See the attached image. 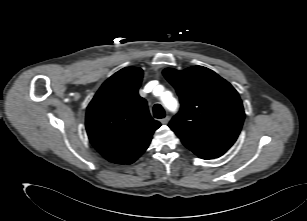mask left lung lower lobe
I'll return each mask as SVG.
<instances>
[{
  "instance_id": "1",
  "label": "left lung lower lobe",
  "mask_w": 307,
  "mask_h": 221,
  "mask_svg": "<svg viewBox=\"0 0 307 221\" xmlns=\"http://www.w3.org/2000/svg\"><path fill=\"white\" fill-rule=\"evenodd\" d=\"M185 146L202 159L217 158V157H220L221 155H223L226 152V150L205 148V147H201V146H197V145H191V144H188V145H185Z\"/></svg>"
}]
</instances>
